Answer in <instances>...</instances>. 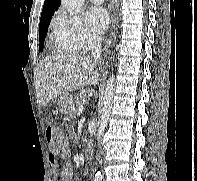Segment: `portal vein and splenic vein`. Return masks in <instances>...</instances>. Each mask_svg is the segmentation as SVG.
<instances>
[{"instance_id": "obj_1", "label": "portal vein and splenic vein", "mask_w": 197, "mask_h": 181, "mask_svg": "<svg viewBox=\"0 0 197 181\" xmlns=\"http://www.w3.org/2000/svg\"><path fill=\"white\" fill-rule=\"evenodd\" d=\"M84 112V107L83 106H80L79 108H78V113H77V115L79 116L80 114H82Z\"/></svg>"}]
</instances>
